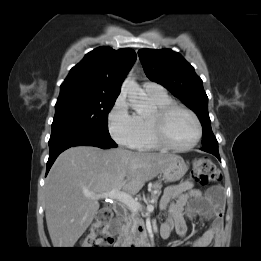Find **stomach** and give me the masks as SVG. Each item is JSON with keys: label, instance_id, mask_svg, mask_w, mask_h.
Segmentation results:
<instances>
[{"label": "stomach", "instance_id": "obj_1", "mask_svg": "<svg viewBox=\"0 0 261 261\" xmlns=\"http://www.w3.org/2000/svg\"><path fill=\"white\" fill-rule=\"evenodd\" d=\"M187 170L188 167L183 158L176 156L173 160L168 162L166 167L162 170L161 176L166 182H176L185 175Z\"/></svg>", "mask_w": 261, "mask_h": 261}]
</instances>
